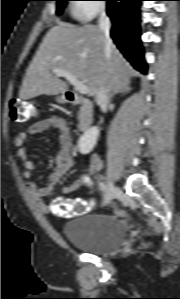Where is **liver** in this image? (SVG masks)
<instances>
[{
  "label": "liver",
  "mask_w": 180,
  "mask_h": 299,
  "mask_svg": "<svg viewBox=\"0 0 180 299\" xmlns=\"http://www.w3.org/2000/svg\"><path fill=\"white\" fill-rule=\"evenodd\" d=\"M53 69L70 72L96 96L100 87L113 93L129 87L131 67L103 31L94 25L71 26L63 22L45 35L30 63L20 90V98L64 94L67 82L53 74Z\"/></svg>",
  "instance_id": "6515ba94"
}]
</instances>
